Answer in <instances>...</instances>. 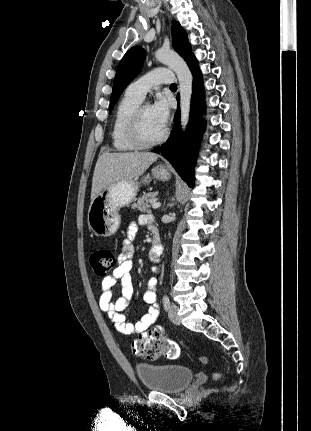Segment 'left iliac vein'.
I'll return each mask as SVG.
<instances>
[{
    "label": "left iliac vein",
    "mask_w": 311,
    "mask_h": 431,
    "mask_svg": "<svg viewBox=\"0 0 311 431\" xmlns=\"http://www.w3.org/2000/svg\"><path fill=\"white\" fill-rule=\"evenodd\" d=\"M168 316L172 323L179 325L181 322V319L178 315V307L174 304H172L168 309Z\"/></svg>",
    "instance_id": "left-iliac-vein-1"
}]
</instances>
